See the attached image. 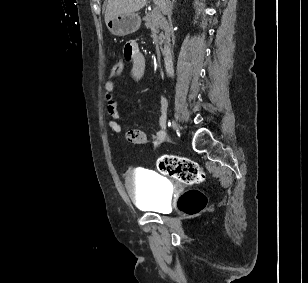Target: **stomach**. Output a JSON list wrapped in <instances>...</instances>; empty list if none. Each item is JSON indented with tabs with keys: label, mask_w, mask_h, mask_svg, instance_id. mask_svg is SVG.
Wrapping results in <instances>:
<instances>
[{
	"label": "stomach",
	"mask_w": 308,
	"mask_h": 283,
	"mask_svg": "<svg viewBox=\"0 0 308 283\" xmlns=\"http://www.w3.org/2000/svg\"><path fill=\"white\" fill-rule=\"evenodd\" d=\"M107 28L115 36H126L140 28L141 19L138 14L117 15L107 22Z\"/></svg>",
	"instance_id": "stomach-1"
}]
</instances>
